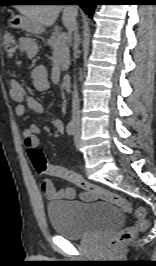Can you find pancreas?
<instances>
[{
	"mask_svg": "<svg viewBox=\"0 0 156 266\" xmlns=\"http://www.w3.org/2000/svg\"><path fill=\"white\" fill-rule=\"evenodd\" d=\"M47 44L58 55L61 62V70H67L70 65L69 39L67 37L63 39L59 33H55L48 39Z\"/></svg>",
	"mask_w": 156,
	"mask_h": 266,
	"instance_id": "obj_1",
	"label": "pancreas"
}]
</instances>
